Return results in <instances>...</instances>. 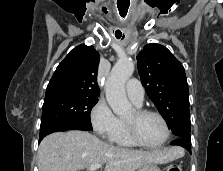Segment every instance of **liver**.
Here are the masks:
<instances>
[{
    "instance_id": "obj_1",
    "label": "liver",
    "mask_w": 223,
    "mask_h": 171,
    "mask_svg": "<svg viewBox=\"0 0 223 171\" xmlns=\"http://www.w3.org/2000/svg\"><path fill=\"white\" fill-rule=\"evenodd\" d=\"M177 147L139 151L115 147L79 130L46 136L38 149L39 171H79L105 164L104 171H136L149 164H165L181 157Z\"/></svg>"
}]
</instances>
